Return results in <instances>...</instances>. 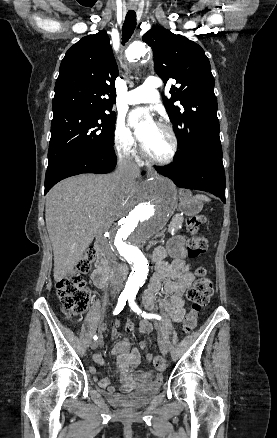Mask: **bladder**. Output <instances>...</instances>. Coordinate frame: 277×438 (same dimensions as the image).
<instances>
[{
  "label": "bladder",
  "mask_w": 277,
  "mask_h": 438,
  "mask_svg": "<svg viewBox=\"0 0 277 438\" xmlns=\"http://www.w3.org/2000/svg\"><path fill=\"white\" fill-rule=\"evenodd\" d=\"M161 386V380L145 386L141 390H135L127 394L112 392L109 397L114 405L124 409H137L146 406L156 396Z\"/></svg>",
  "instance_id": "1"
}]
</instances>
